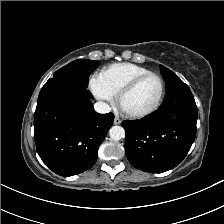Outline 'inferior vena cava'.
Instances as JSON below:
<instances>
[{
    "label": "inferior vena cava",
    "instance_id": "1",
    "mask_svg": "<svg viewBox=\"0 0 224 224\" xmlns=\"http://www.w3.org/2000/svg\"><path fill=\"white\" fill-rule=\"evenodd\" d=\"M94 109L96 112L101 114L109 113L111 111V107L107 103L102 101L96 102L94 104Z\"/></svg>",
    "mask_w": 224,
    "mask_h": 224
}]
</instances>
